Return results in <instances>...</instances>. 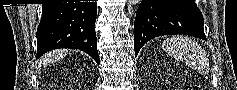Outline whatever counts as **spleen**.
Returning a JSON list of instances; mask_svg holds the SVG:
<instances>
[{
  "label": "spleen",
  "mask_w": 237,
  "mask_h": 90,
  "mask_svg": "<svg viewBox=\"0 0 237 90\" xmlns=\"http://www.w3.org/2000/svg\"><path fill=\"white\" fill-rule=\"evenodd\" d=\"M163 50L168 56H173L175 60H184L194 68L195 66L197 68L206 60L202 48L187 36H171V38H167L163 42Z\"/></svg>",
  "instance_id": "3e777b00"
}]
</instances>
